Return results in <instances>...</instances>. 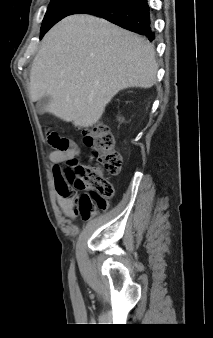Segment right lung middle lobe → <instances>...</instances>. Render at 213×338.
<instances>
[{"label": "right lung middle lobe", "mask_w": 213, "mask_h": 338, "mask_svg": "<svg viewBox=\"0 0 213 338\" xmlns=\"http://www.w3.org/2000/svg\"><path fill=\"white\" fill-rule=\"evenodd\" d=\"M91 0H51L41 26V38L57 22Z\"/></svg>", "instance_id": "obj_1"}]
</instances>
